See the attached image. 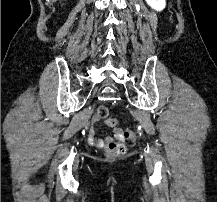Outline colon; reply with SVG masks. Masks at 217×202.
I'll return each mask as SVG.
<instances>
[{
  "label": "colon",
  "mask_w": 217,
  "mask_h": 202,
  "mask_svg": "<svg viewBox=\"0 0 217 202\" xmlns=\"http://www.w3.org/2000/svg\"><path fill=\"white\" fill-rule=\"evenodd\" d=\"M97 116L99 118L105 119L108 115V111L106 109V104H99V108L97 109L96 112ZM117 118H107V120L104 122L105 126H113L114 123H117ZM133 131H126L125 136L128 138V140H135V135H133ZM125 138V139H126ZM125 151V147L123 143H115L112 142L108 146L107 154L110 157H118L122 155Z\"/></svg>",
  "instance_id": "5ec220e1"
}]
</instances>
